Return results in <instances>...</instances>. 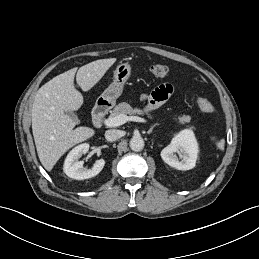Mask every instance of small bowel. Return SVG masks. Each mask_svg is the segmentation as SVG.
Listing matches in <instances>:
<instances>
[{
	"mask_svg": "<svg viewBox=\"0 0 259 259\" xmlns=\"http://www.w3.org/2000/svg\"><path fill=\"white\" fill-rule=\"evenodd\" d=\"M173 92L171 84H162L157 87L150 95L144 96L143 99L147 101L148 108L153 109L160 106Z\"/></svg>",
	"mask_w": 259,
	"mask_h": 259,
	"instance_id": "c3829d8e",
	"label": "small bowel"
}]
</instances>
